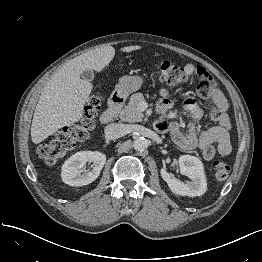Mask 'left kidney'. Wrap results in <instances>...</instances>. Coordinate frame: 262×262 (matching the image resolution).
Instances as JSON below:
<instances>
[{
    "mask_svg": "<svg viewBox=\"0 0 262 262\" xmlns=\"http://www.w3.org/2000/svg\"><path fill=\"white\" fill-rule=\"evenodd\" d=\"M179 169L181 174L190 179L186 183L172 177L165 167L160 171L163 180L166 181L170 190L181 196H202L206 192L207 181L201 160L195 156L182 155L179 158Z\"/></svg>",
    "mask_w": 262,
    "mask_h": 262,
    "instance_id": "left-kidney-1",
    "label": "left kidney"
}]
</instances>
